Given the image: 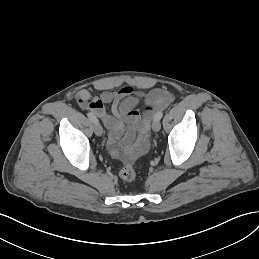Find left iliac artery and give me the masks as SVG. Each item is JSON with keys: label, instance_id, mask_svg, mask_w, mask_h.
Here are the masks:
<instances>
[{"label": "left iliac artery", "instance_id": "1", "mask_svg": "<svg viewBox=\"0 0 259 259\" xmlns=\"http://www.w3.org/2000/svg\"><path fill=\"white\" fill-rule=\"evenodd\" d=\"M163 116V112L162 111H159L155 114L154 116V120H160Z\"/></svg>", "mask_w": 259, "mask_h": 259}]
</instances>
